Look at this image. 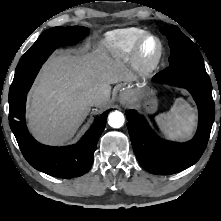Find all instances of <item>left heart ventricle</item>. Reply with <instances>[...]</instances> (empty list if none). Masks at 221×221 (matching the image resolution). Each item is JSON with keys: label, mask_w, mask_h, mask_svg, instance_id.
Wrapping results in <instances>:
<instances>
[{"label": "left heart ventricle", "mask_w": 221, "mask_h": 221, "mask_svg": "<svg viewBox=\"0 0 221 221\" xmlns=\"http://www.w3.org/2000/svg\"><path fill=\"white\" fill-rule=\"evenodd\" d=\"M156 50V43L154 40H149L145 45V53L147 55H152Z\"/></svg>", "instance_id": "b2bd125f"}]
</instances>
